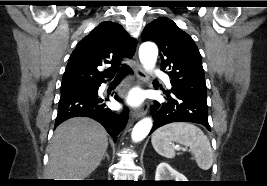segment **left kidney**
Listing matches in <instances>:
<instances>
[{
    "mask_svg": "<svg viewBox=\"0 0 267 186\" xmlns=\"http://www.w3.org/2000/svg\"><path fill=\"white\" fill-rule=\"evenodd\" d=\"M155 181H187V179L168 163L161 162L156 169Z\"/></svg>",
    "mask_w": 267,
    "mask_h": 186,
    "instance_id": "obj_1",
    "label": "left kidney"
}]
</instances>
